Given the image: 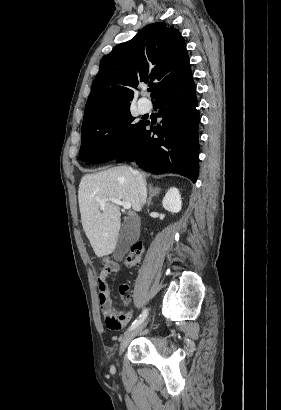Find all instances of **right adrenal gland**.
I'll return each instance as SVG.
<instances>
[{"mask_svg":"<svg viewBox=\"0 0 281 410\" xmlns=\"http://www.w3.org/2000/svg\"><path fill=\"white\" fill-rule=\"evenodd\" d=\"M160 190L161 189L159 187L153 188V186L151 184L149 185L150 195H149V198H148V201H147L148 206L151 204L152 198L154 196H156L160 192Z\"/></svg>","mask_w":281,"mask_h":410,"instance_id":"right-adrenal-gland-1","label":"right adrenal gland"}]
</instances>
